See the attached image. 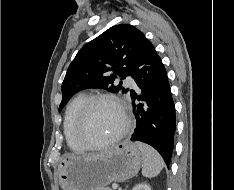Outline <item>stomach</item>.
Returning <instances> with one entry per match:
<instances>
[{"instance_id": "0dacf381", "label": "stomach", "mask_w": 234, "mask_h": 190, "mask_svg": "<svg viewBox=\"0 0 234 190\" xmlns=\"http://www.w3.org/2000/svg\"><path fill=\"white\" fill-rule=\"evenodd\" d=\"M142 154L131 141H123L99 154L66 157L58 166L63 190H103L111 182L135 176Z\"/></svg>"}]
</instances>
